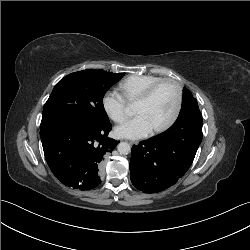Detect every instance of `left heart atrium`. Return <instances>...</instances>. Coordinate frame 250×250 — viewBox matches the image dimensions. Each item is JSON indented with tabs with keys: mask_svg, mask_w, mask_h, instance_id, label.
<instances>
[{
	"mask_svg": "<svg viewBox=\"0 0 250 250\" xmlns=\"http://www.w3.org/2000/svg\"><path fill=\"white\" fill-rule=\"evenodd\" d=\"M114 132L120 138L140 139L149 136L153 129L145 116L136 115L116 126Z\"/></svg>",
	"mask_w": 250,
	"mask_h": 250,
	"instance_id": "left-heart-atrium-1",
	"label": "left heart atrium"
}]
</instances>
